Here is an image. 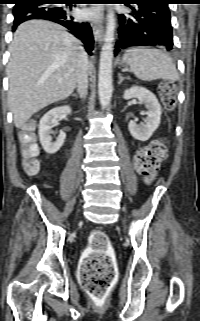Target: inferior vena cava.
<instances>
[{
    "label": "inferior vena cava",
    "instance_id": "obj_1",
    "mask_svg": "<svg viewBox=\"0 0 200 321\" xmlns=\"http://www.w3.org/2000/svg\"><path fill=\"white\" fill-rule=\"evenodd\" d=\"M76 84L80 97L85 98L88 89V58L87 53L83 50V48H81L78 59Z\"/></svg>",
    "mask_w": 200,
    "mask_h": 321
}]
</instances>
